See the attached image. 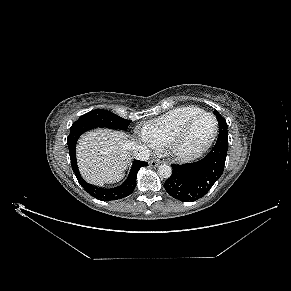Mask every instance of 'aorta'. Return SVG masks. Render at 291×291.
Wrapping results in <instances>:
<instances>
[{
  "label": "aorta",
  "mask_w": 291,
  "mask_h": 291,
  "mask_svg": "<svg viewBox=\"0 0 291 291\" xmlns=\"http://www.w3.org/2000/svg\"><path fill=\"white\" fill-rule=\"evenodd\" d=\"M158 173L162 178H169L172 174V168L168 164H161L158 167Z\"/></svg>",
  "instance_id": "762f6f07"
}]
</instances>
